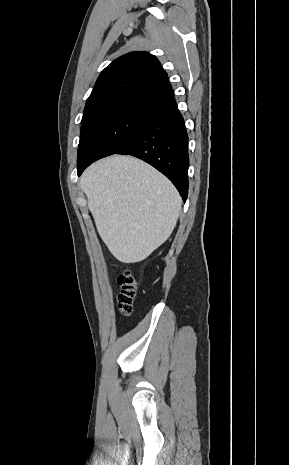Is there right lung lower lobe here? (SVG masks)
<instances>
[{
	"label": "right lung lower lobe",
	"mask_w": 289,
	"mask_h": 465,
	"mask_svg": "<svg viewBox=\"0 0 289 465\" xmlns=\"http://www.w3.org/2000/svg\"><path fill=\"white\" fill-rule=\"evenodd\" d=\"M117 154L132 155L151 164L175 185L183 201L188 194V135L176 101L163 104L160 114ZM96 160L78 164V176Z\"/></svg>",
	"instance_id": "right-lung-lower-lobe-1"
}]
</instances>
